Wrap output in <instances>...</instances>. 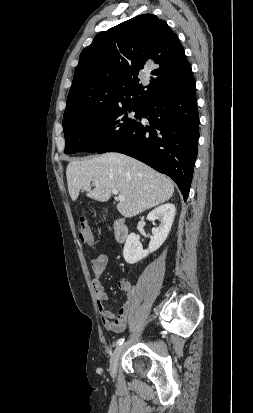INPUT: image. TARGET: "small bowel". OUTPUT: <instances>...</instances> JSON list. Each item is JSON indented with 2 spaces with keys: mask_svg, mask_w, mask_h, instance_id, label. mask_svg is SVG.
Segmentation results:
<instances>
[{
  "mask_svg": "<svg viewBox=\"0 0 253 413\" xmlns=\"http://www.w3.org/2000/svg\"><path fill=\"white\" fill-rule=\"evenodd\" d=\"M107 264L108 257L105 254H99L91 260V268L95 274V278L92 281V288L96 296L98 311L101 316L103 326L109 331L119 333L126 328L134 289L128 281L120 280L118 282V286L126 294L127 300L118 313H113L107 309L104 303L108 299V294L105 291L101 281V276L104 273Z\"/></svg>",
  "mask_w": 253,
  "mask_h": 413,
  "instance_id": "obj_1",
  "label": "small bowel"
}]
</instances>
